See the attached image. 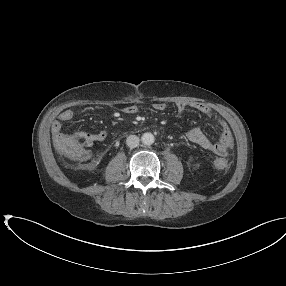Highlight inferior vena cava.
Returning <instances> with one entry per match:
<instances>
[{
    "mask_svg": "<svg viewBox=\"0 0 286 286\" xmlns=\"http://www.w3.org/2000/svg\"><path fill=\"white\" fill-rule=\"evenodd\" d=\"M140 139L136 135H130L127 137L126 144L130 148H136L139 145Z\"/></svg>",
    "mask_w": 286,
    "mask_h": 286,
    "instance_id": "obj_1",
    "label": "inferior vena cava"
}]
</instances>
